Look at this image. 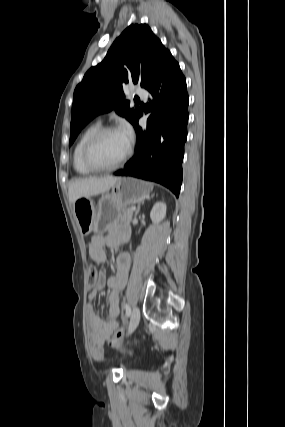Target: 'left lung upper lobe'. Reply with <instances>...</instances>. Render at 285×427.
Returning <instances> with one entry per match:
<instances>
[{
    "instance_id": "obj_1",
    "label": "left lung upper lobe",
    "mask_w": 285,
    "mask_h": 427,
    "mask_svg": "<svg viewBox=\"0 0 285 427\" xmlns=\"http://www.w3.org/2000/svg\"><path fill=\"white\" fill-rule=\"evenodd\" d=\"M168 53L148 25L127 27L104 60L86 72L74 91L69 146L81 129L100 113L115 109L134 124L141 110L129 107L123 85L133 82L146 88Z\"/></svg>"
}]
</instances>
